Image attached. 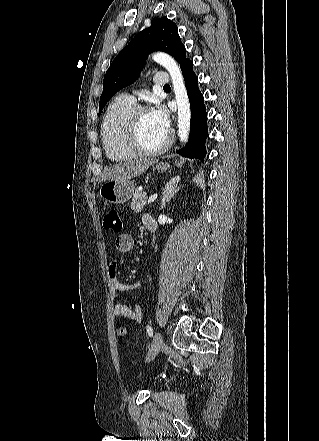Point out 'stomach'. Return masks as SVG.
<instances>
[{
	"label": "stomach",
	"mask_w": 319,
	"mask_h": 441,
	"mask_svg": "<svg viewBox=\"0 0 319 441\" xmlns=\"http://www.w3.org/2000/svg\"><path fill=\"white\" fill-rule=\"evenodd\" d=\"M158 172H165L170 169L167 163H160L156 166ZM135 185L129 179H116L105 181L100 188V196L110 204H121L127 202L134 194Z\"/></svg>",
	"instance_id": "stomach-1"
}]
</instances>
